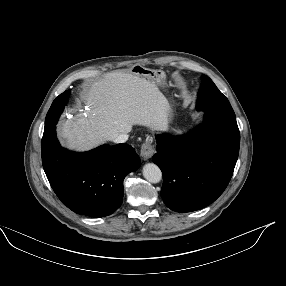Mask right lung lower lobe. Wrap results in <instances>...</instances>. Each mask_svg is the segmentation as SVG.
I'll list each match as a JSON object with an SVG mask.
<instances>
[{
	"label": "right lung lower lobe",
	"mask_w": 286,
	"mask_h": 286,
	"mask_svg": "<svg viewBox=\"0 0 286 286\" xmlns=\"http://www.w3.org/2000/svg\"><path fill=\"white\" fill-rule=\"evenodd\" d=\"M42 163L51 187L69 209L91 217L112 214L122 204L123 180L140 158L127 144H107L84 153L62 148L56 126L44 129Z\"/></svg>",
	"instance_id": "right-lung-lower-lobe-1"
}]
</instances>
